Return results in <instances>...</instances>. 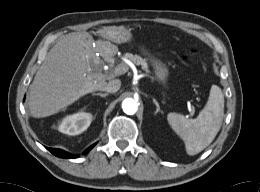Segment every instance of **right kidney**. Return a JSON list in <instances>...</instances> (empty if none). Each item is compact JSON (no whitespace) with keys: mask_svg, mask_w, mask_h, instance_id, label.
Segmentation results:
<instances>
[{"mask_svg":"<svg viewBox=\"0 0 260 192\" xmlns=\"http://www.w3.org/2000/svg\"><path fill=\"white\" fill-rule=\"evenodd\" d=\"M91 121L92 115L90 113L79 112L64 118L59 130L67 135H78L89 127Z\"/></svg>","mask_w":260,"mask_h":192,"instance_id":"right-kidney-1","label":"right kidney"}]
</instances>
